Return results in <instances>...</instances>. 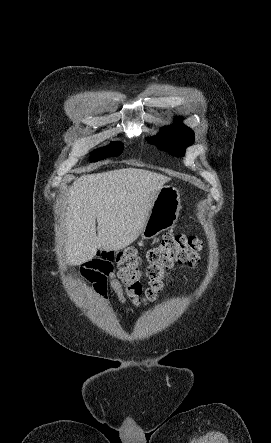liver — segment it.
I'll return each instance as SVG.
<instances>
[{
    "label": "liver",
    "mask_w": 271,
    "mask_h": 443,
    "mask_svg": "<svg viewBox=\"0 0 271 443\" xmlns=\"http://www.w3.org/2000/svg\"><path fill=\"white\" fill-rule=\"evenodd\" d=\"M169 180L135 168L87 174L75 180L63 223L66 263L80 265L93 259L97 249L117 251L135 241L156 194Z\"/></svg>",
    "instance_id": "liver-1"
}]
</instances>
